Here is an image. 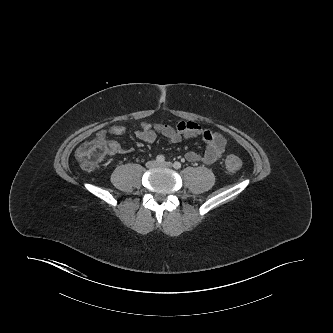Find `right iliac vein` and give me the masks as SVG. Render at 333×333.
I'll list each match as a JSON object with an SVG mask.
<instances>
[{
    "label": "right iliac vein",
    "mask_w": 333,
    "mask_h": 333,
    "mask_svg": "<svg viewBox=\"0 0 333 333\" xmlns=\"http://www.w3.org/2000/svg\"><path fill=\"white\" fill-rule=\"evenodd\" d=\"M156 166H157V162L154 161V160H151V161L147 162V167L148 168H154Z\"/></svg>",
    "instance_id": "1"
}]
</instances>
